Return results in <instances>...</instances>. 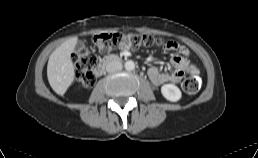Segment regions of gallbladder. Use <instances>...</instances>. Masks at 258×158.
Listing matches in <instances>:
<instances>
[{"instance_id": "gallbladder-1", "label": "gallbladder", "mask_w": 258, "mask_h": 158, "mask_svg": "<svg viewBox=\"0 0 258 158\" xmlns=\"http://www.w3.org/2000/svg\"><path fill=\"white\" fill-rule=\"evenodd\" d=\"M85 48V44L83 41H78L76 44V51L80 52L81 50H83Z\"/></svg>"}]
</instances>
